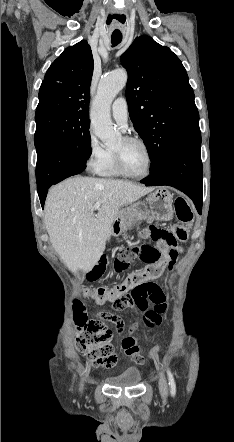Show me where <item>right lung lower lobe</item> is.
<instances>
[{
  "label": "right lung lower lobe",
  "mask_w": 234,
  "mask_h": 442,
  "mask_svg": "<svg viewBox=\"0 0 234 442\" xmlns=\"http://www.w3.org/2000/svg\"><path fill=\"white\" fill-rule=\"evenodd\" d=\"M37 150L36 180L41 206L50 186L63 179L81 173L86 160L76 150L63 145H46Z\"/></svg>",
  "instance_id": "obj_1"
}]
</instances>
